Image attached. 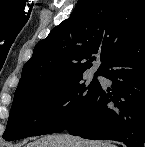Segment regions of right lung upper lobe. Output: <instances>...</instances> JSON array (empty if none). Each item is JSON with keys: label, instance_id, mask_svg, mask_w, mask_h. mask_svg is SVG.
<instances>
[{"label": "right lung upper lobe", "instance_id": "1", "mask_svg": "<svg viewBox=\"0 0 145 147\" xmlns=\"http://www.w3.org/2000/svg\"><path fill=\"white\" fill-rule=\"evenodd\" d=\"M145 31V0H78L70 17L37 43L15 91L54 88L83 75L98 54L100 72Z\"/></svg>", "mask_w": 145, "mask_h": 147}]
</instances>
